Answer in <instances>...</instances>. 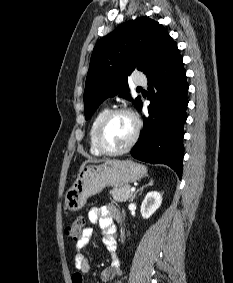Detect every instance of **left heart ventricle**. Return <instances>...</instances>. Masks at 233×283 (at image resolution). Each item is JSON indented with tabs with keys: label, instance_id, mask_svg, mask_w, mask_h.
Here are the masks:
<instances>
[{
	"label": "left heart ventricle",
	"instance_id": "obj_1",
	"mask_svg": "<svg viewBox=\"0 0 233 283\" xmlns=\"http://www.w3.org/2000/svg\"><path fill=\"white\" fill-rule=\"evenodd\" d=\"M135 125L133 119L127 114L114 116L107 124L102 141L106 148L117 150L124 147L132 138Z\"/></svg>",
	"mask_w": 233,
	"mask_h": 283
}]
</instances>
